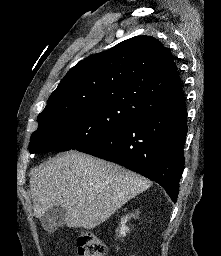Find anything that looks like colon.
Returning <instances> with one entry per match:
<instances>
[{
  "mask_svg": "<svg viewBox=\"0 0 221 256\" xmlns=\"http://www.w3.org/2000/svg\"><path fill=\"white\" fill-rule=\"evenodd\" d=\"M77 245L80 256H106V245L93 232L81 231Z\"/></svg>",
  "mask_w": 221,
  "mask_h": 256,
  "instance_id": "colon-1",
  "label": "colon"
}]
</instances>
